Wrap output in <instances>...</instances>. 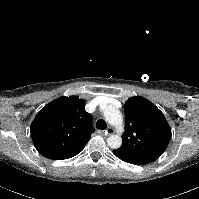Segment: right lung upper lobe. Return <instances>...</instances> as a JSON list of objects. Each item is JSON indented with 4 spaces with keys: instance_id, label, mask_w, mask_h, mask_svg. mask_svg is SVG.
I'll return each instance as SVG.
<instances>
[{
    "instance_id": "obj_1",
    "label": "right lung upper lobe",
    "mask_w": 199,
    "mask_h": 199,
    "mask_svg": "<svg viewBox=\"0 0 199 199\" xmlns=\"http://www.w3.org/2000/svg\"><path fill=\"white\" fill-rule=\"evenodd\" d=\"M84 106V100L77 96L60 97L37 113L30 132L40 154L54 160L68 159L85 147L94 128Z\"/></svg>"
}]
</instances>
